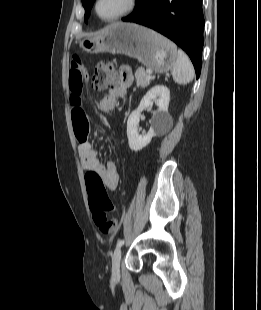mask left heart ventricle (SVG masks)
Returning a JSON list of instances; mask_svg holds the SVG:
<instances>
[{
  "instance_id": "1",
  "label": "left heart ventricle",
  "mask_w": 261,
  "mask_h": 310,
  "mask_svg": "<svg viewBox=\"0 0 261 310\" xmlns=\"http://www.w3.org/2000/svg\"><path fill=\"white\" fill-rule=\"evenodd\" d=\"M125 6V0H101L98 6L103 17H111L120 12Z\"/></svg>"
}]
</instances>
